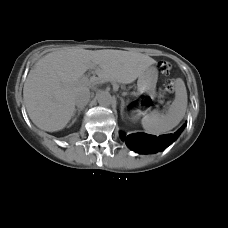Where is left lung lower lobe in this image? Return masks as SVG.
<instances>
[{
	"instance_id": "1",
	"label": "left lung lower lobe",
	"mask_w": 228,
	"mask_h": 228,
	"mask_svg": "<svg viewBox=\"0 0 228 228\" xmlns=\"http://www.w3.org/2000/svg\"><path fill=\"white\" fill-rule=\"evenodd\" d=\"M185 126L186 124H184L174 134L161 135L159 137L145 133L131 134L126 137L125 142L130 149L138 153H154L162 151L178 138ZM120 135L124 139V134L120 133Z\"/></svg>"
}]
</instances>
